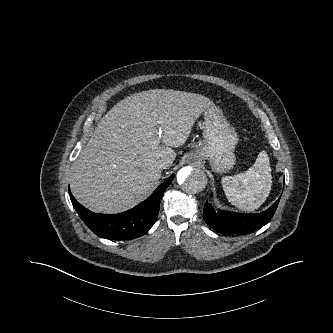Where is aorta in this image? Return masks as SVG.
<instances>
[{
  "instance_id": "762f6f07",
  "label": "aorta",
  "mask_w": 333,
  "mask_h": 333,
  "mask_svg": "<svg viewBox=\"0 0 333 333\" xmlns=\"http://www.w3.org/2000/svg\"><path fill=\"white\" fill-rule=\"evenodd\" d=\"M177 183L180 188L186 193H199L202 191L207 183L205 173L197 168L184 167L177 176Z\"/></svg>"
}]
</instances>
